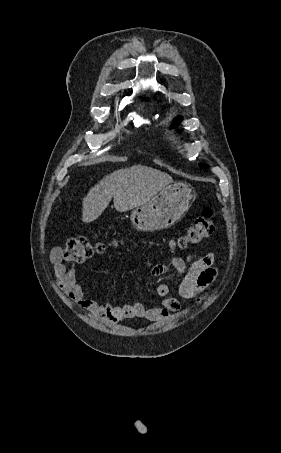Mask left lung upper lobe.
<instances>
[{
  "label": "left lung upper lobe",
  "instance_id": "obj_1",
  "mask_svg": "<svg viewBox=\"0 0 281 453\" xmlns=\"http://www.w3.org/2000/svg\"><path fill=\"white\" fill-rule=\"evenodd\" d=\"M146 100V99H145ZM182 120V117H177L174 119V125H177L180 121ZM201 167L206 168L207 165L205 164H199Z\"/></svg>",
  "mask_w": 281,
  "mask_h": 453
}]
</instances>
